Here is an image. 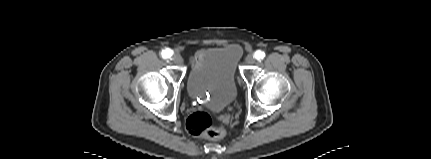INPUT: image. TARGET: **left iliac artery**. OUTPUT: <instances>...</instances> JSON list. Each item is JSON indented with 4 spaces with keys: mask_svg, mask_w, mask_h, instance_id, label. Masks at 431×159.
<instances>
[{
    "mask_svg": "<svg viewBox=\"0 0 431 159\" xmlns=\"http://www.w3.org/2000/svg\"><path fill=\"white\" fill-rule=\"evenodd\" d=\"M254 57H255L257 60H262V59L265 57V53H264L263 51H261V50H257V51L254 53Z\"/></svg>",
    "mask_w": 431,
    "mask_h": 159,
    "instance_id": "44dca946",
    "label": "left iliac artery"
}]
</instances>
